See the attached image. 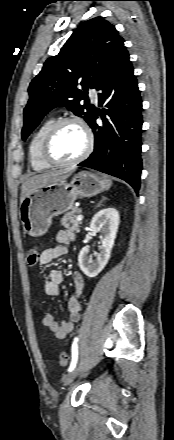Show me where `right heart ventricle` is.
Returning a JSON list of instances; mask_svg holds the SVG:
<instances>
[{"label":"right heart ventricle","mask_w":174,"mask_h":440,"mask_svg":"<svg viewBox=\"0 0 174 440\" xmlns=\"http://www.w3.org/2000/svg\"><path fill=\"white\" fill-rule=\"evenodd\" d=\"M54 122H55L54 118H48L45 121H43L34 131L29 141L28 144L29 162L32 169L36 172H43L52 168L51 165H49L43 160L41 149H42L44 137Z\"/></svg>","instance_id":"e07e8e85"}]
</instances>
